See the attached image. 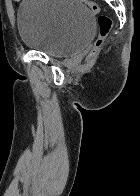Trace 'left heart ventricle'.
Wrapping results in <instances>:
<instances>
[{"label":"left heart ventricle","instance_id":"b2bd125f","mask_svg":"<svg viewBox=\"0 0 140 196\" xmlns=\"http://www.w3.org/2000/svg\"><path fill=\"white\" fill-rule=\"evenodd\" d=\"M44 192H56V191H44Z\"/></svg>","mask_w":140,"mask_h":196}]
</instances>
